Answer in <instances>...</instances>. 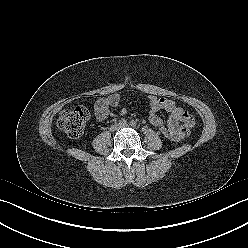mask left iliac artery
Wrapping results in <instances>:
<instances>
[{"label": "left iliac artery", "instance_id": "44dca946", "mask_svg": "<svg viewBox=\"0 0 248 248\" xmlns=\"http://www.w3.org/2000/svg\"><path fill=\"white\" fill-rule=\"evenodd\" d=\"M130 125H131V126H135V125H136V122H135V121H131V122H130Z\"/></svg>", "mask_w": 248, "mask_h": 248}]
</instances>
